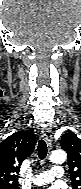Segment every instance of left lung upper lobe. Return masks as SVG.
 Instances as JSON below:
<instances>
[{
    "label": "left lung upper lobe",
    "mask_w": 81,
    "mask_h": 189,
    "mask_svg": "<svg viewBox=\"0 0 81 189\" xmlns=\"http://www.w3.org/2000/svg\"><path fill=\"white\" fill-rule=\"evenodd\" d=\"M61 148L68 153L73 189H81V139L73 132L65 133L60 141Z\"/></svg>",
    "instance_id": "left-lung-upper-lobe-1"
}]
</instances>
